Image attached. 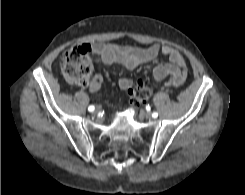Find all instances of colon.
Returning a JSON list of instances; mask_svg holds the SVG:
<instances>
[{
    "mask_svg": "<svg viewBox=\"0 0 245 195\" xmlns=\"http://www.w3.org/2000/svg\"><path fill=\"white\" fill-rule=\"evenodd\" d=\"M92 62L89 58L87 46H73L68 49L62 58V73L72 84L85 85L92 73ZM152 86L145 81L138 80L130 90V105L138 106L149 98Z\"/></svg>",
    "mask_w": 245,
    "mask_h": 195,
    "instance_id": "5ec220e1",
    "label": "colon"
}]
</instances>
